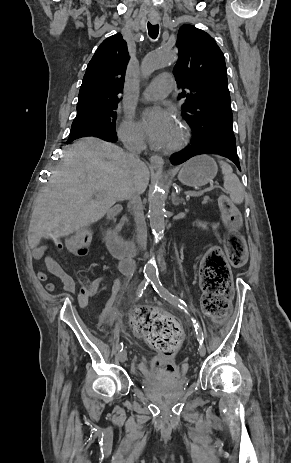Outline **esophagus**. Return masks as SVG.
<instances>
[{"label":"esophagus","mask_w":291,"mask_h":463,"mask_svg":"<svg viewBox=\"0 0 291 463\" xmlns=\"http://www.w3.org/2000/svg\"><path fill=\"white\" fill-rule=\"evenodd\" d=\"M152 22H153V23H157V22H158V19H157V18H153V19H152ZM149 161H150V164H151L153 167H156V168H161V167H163V165H164V160H163V158H162L161 156H159V155H156V154L152 155V156L150 157Z\"/></svg>","instance_id":"obj_1"}]
</instances>
